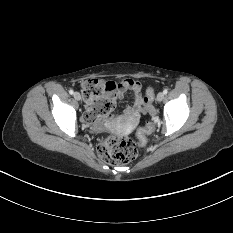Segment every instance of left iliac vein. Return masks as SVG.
<instances>
[{"instance_id": "obj_1", "label": "left iliac vein", "mask_w": 233, "mask_h": 233, "mask_svg": "<svg viewBox=\"0 0 233 233\" xmlns=\"http://www.w3.org/2000/svg\"><path fill=\"white\" fill-rule=\"evenodd\" d=\"M156 99L158 102H161L164 99V93L163 92L158 93Z\"/></svg>"}]
</instances>
